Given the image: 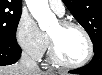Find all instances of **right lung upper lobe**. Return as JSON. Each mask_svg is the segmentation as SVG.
<instances>
[{
	"label": "right lung upper lobe",
	"mask_w": 102,
	"mask_h": 75,
	"mask_svg": "<svg viewBox=\"0 0 102 75\" xmlns=\"http://www.w3.org/2000/svg\"><path fill=\"white\" fill-rule=\"evenodd\" d=\"M0 4H8L12 6L22 7L21 0H0Z\"/></svg>",
	"instance_id": "right-lung-upper-lobe-1"
}]
</instances>
